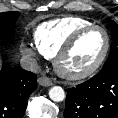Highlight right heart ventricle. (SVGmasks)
Wrapping results in <instances>:
<instances>
[{"instance_id":"1","label":"right heart ventricle","mask_w":118,"mask_h":118,"mask_svg":"<svg viewBox=\"0 0 118 118\" xmlns=\"http://www.w3.org/2000/svg\"><path fill=\"white\" fill-rule=\"evenodd\" d=\"M91 24L88 19L76 16L44 22L34 32L35 45L40 54L52 59L74 32Z\"/></svg>"}]
</instances>
